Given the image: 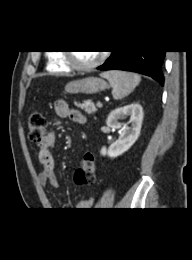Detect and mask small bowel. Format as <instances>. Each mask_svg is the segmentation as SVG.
I'll list each match as a JSON object with an SVG mask.
<instances>
[{
  "label": "small bowel",
  "instance_id": "1",
  "mask_svg": "<svg viewBox=\"0 0 192 260\" xmlns=\"http://www.w3.org/2000/svg\"><path fill=\"white\" fill-rule=\"evenodd\" d=\"M54 107L56 113L60 117H69L74 122L81 124L86 121L85 117L79 111L70 109L68 104L63 100H57ZM54 140V134L48 133L43 145L40 147L38 159L42 168L38 175V180L42 186L49 184L50 186L57 188L59 186V181L55 173V161L51 152ZM93 203V198L78 200L75 203V208L77 210H88L93 206Z\"/></svg>",
  "mask_w": 192,
  "mask_h": 260
}]
</instances>
